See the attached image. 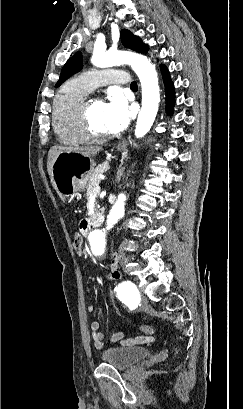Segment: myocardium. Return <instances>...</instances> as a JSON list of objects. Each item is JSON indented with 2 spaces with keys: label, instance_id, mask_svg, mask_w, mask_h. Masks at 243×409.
I'll return each instance as SVG.
<instances>
[{
  "label": "myocardium",
  "instance_id": "obj_1",
  "mask_svg": "<svg viewBox=\"0 0 243 409\" xmlns=\"http://www.w3.org/2000/svg\"><path fill=\"white\" fill-rule=\"evenodd\" d=\"M94 98L86 96L79 106V124L84 138L87 141H101L106 137V134H98L92 130L89 120V104Z\"/></svg>",
  "mask_w": 243,
  "mask_h": 409
}]
</instances>
